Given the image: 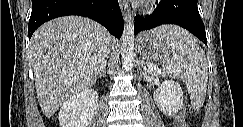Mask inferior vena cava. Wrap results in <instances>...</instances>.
<instances>
[{"label": "inferior vena cava", "instance_id": "602c4592", "mask_svg": "<svg viewBox=\"0 0 243 127\" xmlns=\"http://www.w3.org/2000/svg\"><path fill=\"white\" fill-rule=\"evenodd\" d=\"M106 52L108 53L109 52V50L106 48ZM106 63V62H105Z\"/></svg>", "mask_w": 243, "mask_h": 127}]
</instances>
